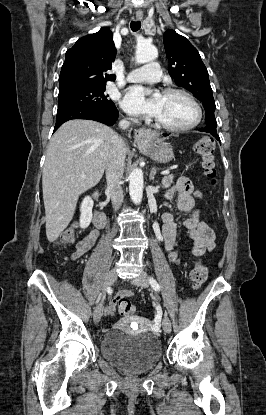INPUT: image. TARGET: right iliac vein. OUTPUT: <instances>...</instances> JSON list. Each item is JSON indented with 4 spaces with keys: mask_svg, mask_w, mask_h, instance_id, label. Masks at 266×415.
Wrapping results in <instances>:
<instances>
[{
    "mask_svg": "<svg viewBox=\"0 0 266 415\" xmlns=\"http://www.w3.org/2000/svg\"><path fill=\"white\" fill-rule=\"evenodd\" d=\"M117 279V272L115 269H112L108 272V274L105 277V281L103 284V293L116 281ZM103 314V305L102 302H99V304L96 306L94 313H93V319L95 322H99Z\"/></svg>",
    "mask_w": 266,
    "mask_h": 415,
    "instance_id": "obj_1",
    "label": "right iliac vein"
}]
</instances>
